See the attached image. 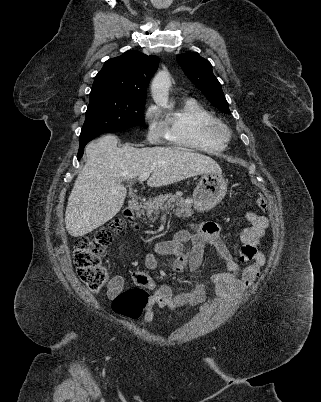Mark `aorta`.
<instances>
[{"label":"aorta","instance_id":"1","mask_svg":"<svg viewBox=\"0 0 321 402\" xmlns=\"http://www.w3.org/2000/svg\"><path fill=\"white\" fill-rule=\"evenodd\" d=\"M170 84V76L166 71H161L154 77L151 85V93L154 102L158 106L169 108L168 96Z\"/></svg>","mask_w":321,"mask_h":402}]
</instances>
